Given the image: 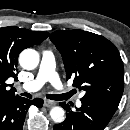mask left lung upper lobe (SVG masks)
<instances>
[{
  "label": "left lung upper lobe",
  "mask_w": 130,
  "mask_h": 130,
  "mask_svg": "<svg viewBox=\"0 0 130 130\" xmlns=\"http://www.w3.org/2000/svg\"><path fill=\"white\" fill-rule=\"evenodd\" d=\"M50 40L62 55L67 79L84 92L81 99L118 108L124 90V67L118 49L105 37L82 30H58Z\"/></svg>",
  "instance_id": "5c2ea615"
}]
</instances>
